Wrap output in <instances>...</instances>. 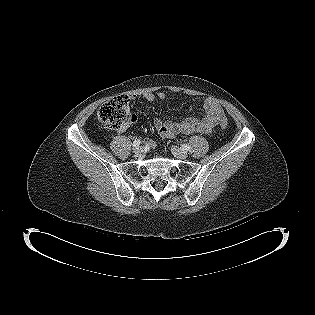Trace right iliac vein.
<instances>
[{
    "label": "right iliac vein",
    "mask_w": 315,
    "mask_h": 315,
    "mask_svg": "<svg viewBox=\"0 0 315 315\" xmlns=\"http://www.w3.org/2000/svg\"><path fill=\"white\" fill-rule=\"evenodd\" d=\"M133 152L136 156H141L143 154V148L136 147Z\"/></svg>",
    "instance_id": "1"
}]
</instances>
